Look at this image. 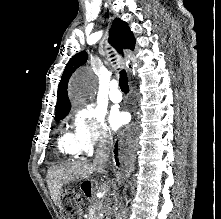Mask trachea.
<instances>
[{
    "label": "trachea",
    "mask_w": 221,
    "mask_h": 219,
    "mask_svg": "<svg viewBox=\"0 0 221 219\" xmlns=\"http://www.w3.org/2000/svg\"><path fill=\"white\" fill-rule=\"evenodd\" d=\"M119 86L122 91L124 92L129 91L128 78L125 70L120 71Z\"/></svg>",
    "instance_id": "3493384b"
}]
</instances>
